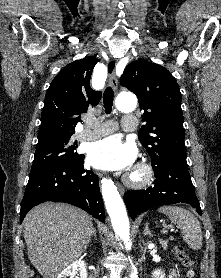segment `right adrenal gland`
Returning a JSON list of instances; mask_svg holds the SVG:
<instances>
[{"instance_id":"2a0ac1e0","label":"right adrenal gland","mask_w":221,"mask_h":278,"mask_svg":"<svg viewBox=\"0 0 221 278\" xmlns=\"http://www.w3.org/2000/svg\"><path fill=\"white\" fill-rule=\"evenodd\" d=\"M92 237H95V238L97 237L95 229L93 230Z\"/></svg>"}]
</instances>
